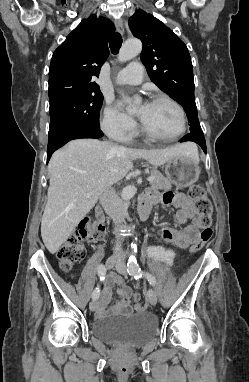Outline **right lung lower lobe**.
Returning a JSON list of instances; mask_svg holds the SVG:
<instances>
[{"mask_svg": "<svg viewBox=\"0 0 249 382\" xmlns=\"http://www.w3.org/2000/svg\"><path fill=\"white\" fill-rule=\"evenodd\" d=\"M103 136L98 126L78 125L61 130L49 135L47 148V162L52 153L73 139L79 138H100Z\"/></svg>", "mask_w": 249, "mask_h": 382, "instance_id": "right-lung-lower-lobe-1", "label": "right lung lower lobe"}]
</instances>
